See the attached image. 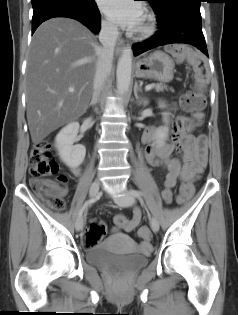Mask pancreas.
<instances>
[{"instance_id": "obj_1", "label": "pancreas", "mask_w": 238, "mask_h": 315, "mask_svg": "<svg viewBox=\"0 0 238 315\" xmlns=\"http://www.w3.org/2000/svg\"><path fill=\"white\" fill-rule=\"evenodd\" d=\"M156 91H163L167 86L162 83L152 84ZM172 90V89H171ZM173 91V90H172Z\"/></svg>"}]
</instances>
